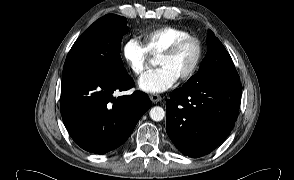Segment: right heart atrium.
<instances>
[{
  "label": "right heart atrium",
  "instance_id": "d8ad5b80",
  "mask_svg": "<svg viewBox=\"0 0 294 180\" xmlns=\"http://www.w3.org/2000/svg\"><path fill=\"white\" fill-rule=\"evenodd\" d=\"M122 58L128 68L135 74H143L149 67L151 56L135 38H130L122 46Z\"/></svg>",
  "mask_w": 294,
  "mask_h": 180
}]
</instances>
